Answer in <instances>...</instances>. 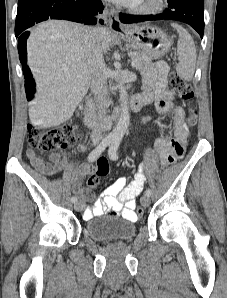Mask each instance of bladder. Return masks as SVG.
Here are the masks:
<instances>
[{
  "label": "bladder",
  "mask_w": 227,
  "mask_h": 298,
  "mask_svg": "<svg viewBox=\"0 0 227 298\" xmlns=\"http://www.w3.org/2000/svg\"><path fill=\"white\" fill-rule=\"evenodd\" d=\"M85 230L92 240L107 244L132 239L137 226L125 218L91 219L86 223Z\"/></svg>",
  "instance_id": "1"
}]
</instances>
